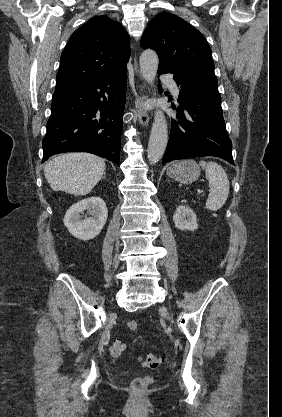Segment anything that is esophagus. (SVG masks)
<instances>
[{"label":"esophagus","instance_id":"obj_1","mask_svg":"<svg viewBox=\"0 0 282 417\" xmlns=\"http://www.w3.org/2000/svg\"><path fill=\"white\" fill-rule=\"evenodd\" d=\"M134 70H135V73L141 77V73H140V70H139L136 53H135V56H134ZM138 92H139V95L135 100V107H136L137 114H138V120H139V123L141 125L146 126L149 123V116H148V112L145 108L147 97H146L145 83L144 82H142V84L139 85Z\"/></svg>","mask_w":282,"mask_h":417}]
</instances>
